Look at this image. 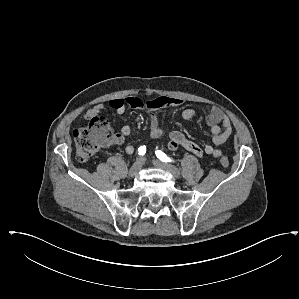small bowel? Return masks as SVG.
Wrapping results in <instances>:
<instances>
[{
    "mask_svg": "<svg viewBox=\"0 0 299 299\" xmlns=\"http://www.w3.org/2000/svg\"><path fill=\"white\" fill-rule=\"evenodd\" d=\"M183 103L184 101L182 99L167 96H160L147 101H144L136 96H128L125 99H112L109 101L108 105L119 115L125 112L126 106L146 112L148 116L151 137L161 138L165 135V131L154 111L164 107H179L183 105ZM103 109V104H96L86 112L84 117L86 120H89L94 116H98ZM197 115L198 111L195 108L188 107L181 111V117L184 120H191ZM205 120L210 127L212 134V144H207L204 147H201L196 142L187 138L183 132L175 130L169 133L168 148L170 150L184 148L199 157H202L204 154L213 157H219L221 155L219 147L228 140L233 132L231 121L229 117L217 107H213L206 114ZM131 131L132 129L129 125H123L121 127L120 133L116 134L113 143L122 144L124 142V138L129 136ZM134 151V145L127 144L125 146V152L127 154H133Z\"/></svg>",
    "mask_w": 299,
    "mask_h": 299,
    "instance_id": "1",
    "label": "small bowel"
}]
</instances>
